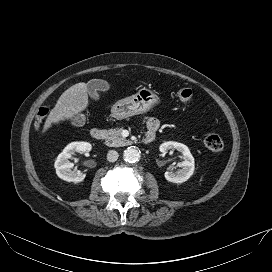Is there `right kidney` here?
I'll return each instance as SVG.
<instances>
[{
    "label": "right kidney",
    "instance_id": "obj_1",
    "mask_svg": "<svg viewBox=\"0 0 272 272\" xmlns=\"http://www.w3.org/2000/svg\"><path fill=\"white\" fill-rule=\"evenodd\" d=\"M91 148L92 146L88 142H72L68 144L58 155L54 164L58 177L67 182H82L86 175L80 171H73L72 168L74 165L70 163L69 159L75 152L85 153L90 151Z\"/></svg>",
    "mask_w": 272,
    "mask_h": 272
}]
</instances>
